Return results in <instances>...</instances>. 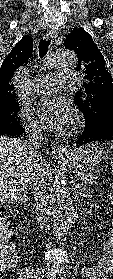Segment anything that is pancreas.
<instances>
[{
	"label": "pancreas",
	"instance_id": "cf45deb5",
	"mask_svg": "<svg viewBox=\"0 0 113 279\" xmlns=\"http://www.w3.org/2000/svg\"><path fill=\"white\" fill-rule=\"evenodd\" d=\"M79 179L87 184H97V177L93 176L92 174H89V173H85V172H78L77 173Z\"/></svg>",
	"mask_w": 113,
	"mask_h": 279
}]
</instances>
